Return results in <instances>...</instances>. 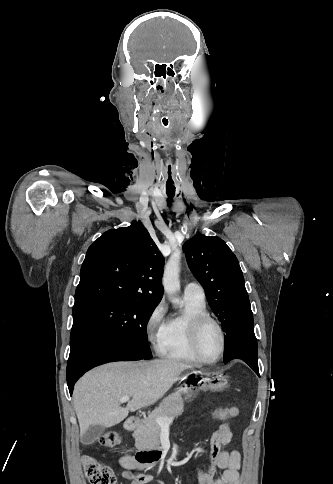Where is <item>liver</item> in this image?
Segmentation results:
<instances>
[{
    "mask_svg": "<svg viewBox=\"0 0 333 484\" xmlns=\"http://www.w3.org/2000/svg\"><path fill=\"white\" fill-rule=\"evenodd\" d=\"M192 366L164 359L114 362L86 373L76 383L73 404L80 436L92 425L112 427L129 414L157 402ZM132 397L126 407L119 399Z\"/></svg>",
    "mask_w": 333,
    "mask_h": 484,
    "instance_id": "6515ba94",
    "label": "liver"
}]
</instances>
